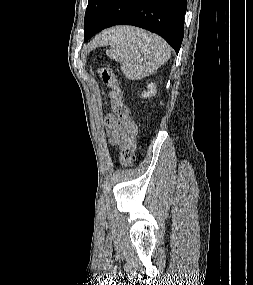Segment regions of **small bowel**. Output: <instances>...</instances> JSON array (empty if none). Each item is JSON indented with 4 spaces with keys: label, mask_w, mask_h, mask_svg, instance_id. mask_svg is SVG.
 I'll return each mask as SVG.
<instances>
[{
    "label": "small bowel",
    "mask_w": 253,
    "mask_h": 285,
    "mask_svg": "<svg viewBox=\"0 0 253 285\" xmlns=\"http://www.w3.org/2000/svg\"><path fill=\"white\" fill-rule=\"evenodd\" d=\"M115 97L116 94L114 92L109 94L110 99H114ZM106 125L110 135V142L113 145L122 144L126 133V124L119 120L115 115L108 114L106 116Z\"/></svg>",
    "instance_id": "c3829d8e"
}]
</instances>
